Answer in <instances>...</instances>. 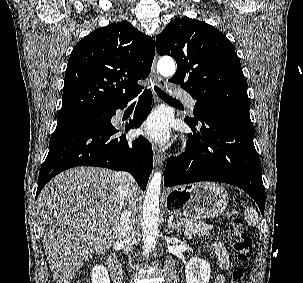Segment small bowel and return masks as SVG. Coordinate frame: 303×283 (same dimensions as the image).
<instances>
[{"instance_id": "obj_1", "label": "small bowel", "mask_w": 303, "mask_h": 283, "mask_svg": "<svg viewBox=\"0 0 303 283\" xmlns=\"http://www.w3.org/2000/svg\"><path fill=\"white\" fill-rule=\"evenodd\" d=\"M213 250L218 258L219 264L223 269L228 268L229 266V257H228V252L224 245L221 242H216L213 245ZM214 283H225V280L222 276H217L214 279Z\"/></svg>"}]
</instances>
